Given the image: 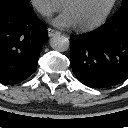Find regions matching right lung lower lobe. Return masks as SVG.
<instances>
[{"instance_id": "obj_1", "label": "right lung lower lobe", "mask_w": 128, "mask_h": 128, "mask_svg": "<svg viewBox=\"0 0 128 128\" xmlns=\"http://www.w3.org/2000/svg\"><path fill=\"white\" fill-rule=\"evenodd\" d=\"M46 38L30 6L0 5V82L17 84L35 72Z\"/></svg>"}]
</instances>
